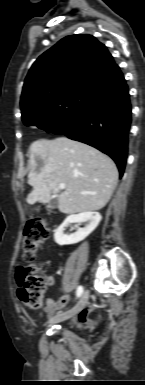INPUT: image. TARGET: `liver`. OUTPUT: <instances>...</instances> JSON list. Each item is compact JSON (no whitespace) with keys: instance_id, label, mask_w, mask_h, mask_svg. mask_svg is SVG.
Returning <instances> with one entry per match:
<instances>
[{"instance_id":"1","label":"liver","mask_w":145,"mask_h":385,"mask_svg":"<svg viewBox=\"0 0 145 385\" xmlns=\"http://www.w3.org/2000/svg\"><path fill=\"white\" fill-rule=\"evenodd\" d=\"M115 163L99 150L66 137L40 139L30 146L28 183L33 191L27 203H48L51 192L64 191L58 208L65 214L100 210L109 202L117 185Z\"/></svg>"}]
</instances>
